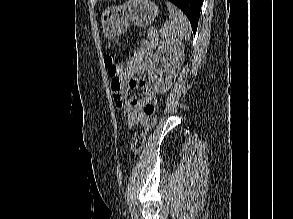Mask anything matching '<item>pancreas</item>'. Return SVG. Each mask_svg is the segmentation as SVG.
Here are the masks:
<instances>
[{"label":"pancreas","instance_id":"pancreas-1","mask_svg":"<svg viewBox=\"0 0 293 219\" xmlns=\"http://www.w3.org/2000/svg\"><path fill=\"white\" fill-rule=\"evenodd\" d=\"M148 39L153 46H156L158 44L159 35L154 29L150 28L148 31Z\"/></svg>","mask_w":293,"mask_h":219}]
</instances>
